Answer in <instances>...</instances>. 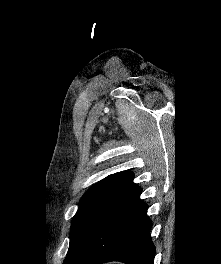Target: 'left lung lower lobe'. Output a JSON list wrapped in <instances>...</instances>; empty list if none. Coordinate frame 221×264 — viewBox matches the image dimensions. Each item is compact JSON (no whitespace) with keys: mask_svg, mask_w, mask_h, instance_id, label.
Listing matches in <instances>:
<instances>
[{"mask_svg":"<svg viewBox=\"0 0 221 264\" xmlns=\"http://www.w3.org/2000/svg\"><path fill=\"white\" fill-rule=\"evenodd\" d=\"M138 187L112 209L68 254L63 264H153L155 246L150 237L147 206Z\"/></svg>","mask_w":221,"mask_h":264,"instance_id":"left-lung-lower-lobe-1","label":"left lung lower lobe"}]
</instances>
